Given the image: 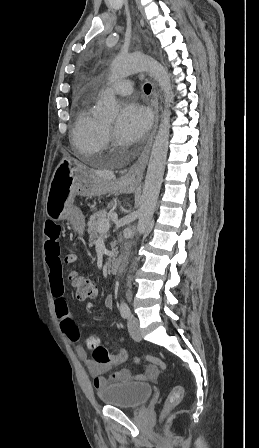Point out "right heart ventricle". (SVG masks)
Listing matches in <instances>:
<instances>
[{"mask_svg":"<svg viewBox=\"0 0 259 448\" xmlns=\"http://www.w3.org/2000/svg\"><path fill=\"white\" fill-rule=\"evenodd\" d=\"M92 96L82 99L76 110L72 138L75 146L83 151L81 163H97L96 157L106 150L105 125L93 114Z\"/></svg>","mask_w":259,"mask_h":448,"instance_id":"e07e8e85","label":"right heart ventricle"}]
</instances>
